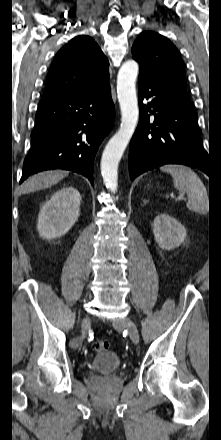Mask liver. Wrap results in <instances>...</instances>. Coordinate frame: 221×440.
<instances>
[{
    "label": "liver",
    "instance_id": "1",
    "mask_svg": "<svg viewBox=\"0 0 221 440\" xmlns=\"http://www.w3.org/2000/svg\"><path fill=\"white\" fill-rule=\"evenodd\" d=\"M68 175V171L53 170L38 173L27 179L21 186L22 193H30L36 190L55 185Z\"/></svg>",
    "mask_w": 221,
    "mask_h": 440
}]
</instances>
